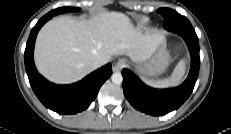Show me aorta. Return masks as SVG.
I'll return each instance as SVG.
<instances>
[{"mask_svg":"<svg viewBox=\"0 0 231 134\" xmlns=\"http://www.w3.org/2000/svg\"><path fill=\"white\" fill-rule=\"evenodd\" d=\"M111 80L115 84H120L123 81V77H122L121 73H114L111 76Z\"/></svg>","mask_w":231,"mask_h":134,"instance_id":"762f6f07","label":"aorta"}]
</instances>
